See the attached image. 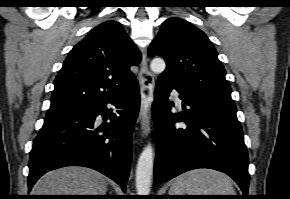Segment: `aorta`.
I'll return each mask as SVG.
<instances>
[{
  "label": "aorta",
  "instance_id": "762f6f07",
  "mask_svg": "<svg viewBox=\"0 0 290 199\" xmlns=\"http://www.w3.org/2000/svg\"><path fill=\"white\" fill-rule=\"evenodd\" d=\"M150 68L154 73H162L166 64L162 58H154ZM154 150L149 142L143 149L136 167V191L137 195H149L151 179L153 176Z\"/></svg>",
  "mask_w": 290,
  "mask_h": 199
}]
</instances>
